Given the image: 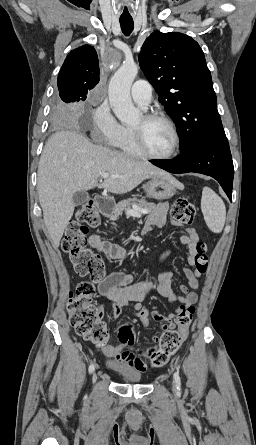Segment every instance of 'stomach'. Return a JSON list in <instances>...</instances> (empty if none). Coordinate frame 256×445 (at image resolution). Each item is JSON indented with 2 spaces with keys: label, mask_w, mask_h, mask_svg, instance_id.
I'll return each mask as SVG.
<instances>
[{
  "label": "stomach",
  "mask_w": 256,
  "mask_h": 445,
  "mask_svg": "<svg viewBox=\"0 0 256 445\" xmlns=\"http://www.w3.org/2000/svg\"><path fill=\"white\" fill-rule=\"evenodd\" d=\"M176 181L171 176H153L144 185L147 197L166 200L176 193Z\"/></svg>",
  "instance_id": "stomach-1"
}]
</instances>
